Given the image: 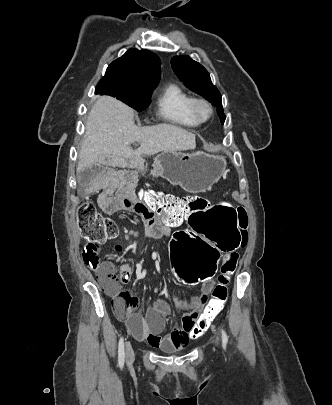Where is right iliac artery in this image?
<instances>
[{
	"label": "right iliac artery",
	"mask_w": 332,
	"mask_h": 405,
	"mask_svg": "<svg viewBox=\"0 0 332 405\" xmlns=\"http://www.w3.org/2000/svg\"><path fill=\"white\" fill-rule=\"evenodd\" d=\"M124 359H125L124 339H123V337H121V339L119 340V345H118V361H119L120 367H123Z\"/></svg>",
	"instance_id": "right-iliac-artery-1"
}]
</instances>
